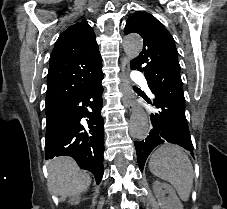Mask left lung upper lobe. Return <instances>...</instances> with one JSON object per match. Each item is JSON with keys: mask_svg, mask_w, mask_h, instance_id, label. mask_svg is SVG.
<instances>
[{"mask_svg": "<svg viewBox=\"0 0 227 209\" xmlns=\"http://www.w3.org/2000/svg\"><path fill=\"white\" fill-rule=\"evenodd\" d=\"M142 36V52L131 61L130 67L145 74L154 96L169 98L185 107L178 52L169 31L154 16L136 11L127 19L124 34Z\"/></svg>", "mask_w": 227, "mask_h": 209, "instance_id": "obj_1", "label": "left lung upper lobe"}]
</instances>
